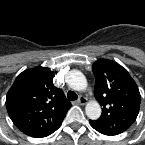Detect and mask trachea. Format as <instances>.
Returning a JSON list of instances; mask_svg holds the SVG:
<instances>
[{
    "label": "trachea",
    "instance_id": "obj_1",
    "mask_svg": "<svg viewBox=\"0 0 145 145\" xmlns=\"http://www.w3.org/2000/svg\"><path fill=\"white\" fill-rule=\"evenodd\" d=\"M67 98H68L69 100H77L78 96H77V94H76L75 92L69 91V92L67 93Z\"/></svg>",
    "mask_w": 145,
    "mask_h": 145
}]
</instances>
